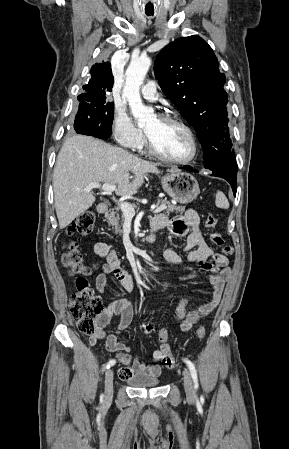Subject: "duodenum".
<instances>
[{
	"label": "duodenum",
	"instance_id": "1",
	"mask_svg": "<svg viewBox=\"0 0 289 449\" xmlns=\"http://www.w3.org/2000/svg\"><path fill=\"white\" fill-rule=\"evenodd\" d=\"M99 212L101 213V214H103V215H108L109 213H110V209H109V207L107 206V205H102L100 208H99ZM159 229V227L158 226H156V225H151V232H150V234L145 238V242H147V243H152V242H154L155 241V239H156V232H157V230Z\"/></svg>",
	"mask_w": 289,
	"mask_h": 449
}]
</instances>
